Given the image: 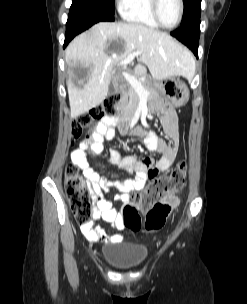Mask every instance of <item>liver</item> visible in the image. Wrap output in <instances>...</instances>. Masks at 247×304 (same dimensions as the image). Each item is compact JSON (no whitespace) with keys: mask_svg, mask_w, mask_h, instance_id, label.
<instances>
[{"mask_svg":"<svg viewBox=\"0 0 247 304\" xmlns=\"http://www.w3.org/2000/svg\"><path fill=\"white\" fill-rule=\"evenodd\" d=\"M140 52L136 75L147 69L155 80L171 76L191 78L195 62L189 51L167 33L138 23L100 22L78 35L65 53L68 70L77 64L89 69L87 83L67 81L71 117L88 112L107 97L113 68L132 52Z\"/></svg>","mask_w":247,"mask_h":304,"instance_id":"liver-1","label":"liver"}]
</instances>
